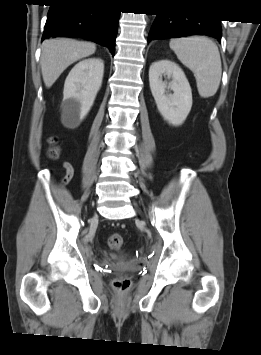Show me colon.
<instances>
[{
	"label": "colon",
	"instance_id": "5ec220e1",
	"mask_svg": "<svg viewBox=\"0 0 261 355\" xmlns=\"http://www.w3.org/2000/svg\"><path fill=\"white\" fill-rule=\"evenodd\" d=\"M48 157L56 159L58 157V149L51 148L48 150ZM73 173L68 170L65 177L62 179V184H66L71 179ZM107 244L112 250H118L123 244V238L119 233H111L107 237ZM113 286L118 291H126L130 286V280L127 277L116 278L113 282Z\"/></svg>",
	"mask_w": 261,
	"mask_h": 355
}]
</instances>
